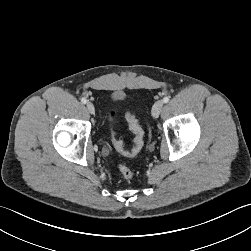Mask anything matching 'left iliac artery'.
Instances as JSON below:
<instances>
[{
  "label": "left iliac artery",
  "instance_id": "1",
  "mask_svg": "<svg viewBox=\"0 0 251 251\" xmlns=\"http://www.w3.org/2000/svg\"><path fill=\"white\" fill-rule=\"evenodd\" d=\"M169 100H170V99H169V97H167V96L163 98V102H164V103H168Z\"/></svg>",
  "mask_w": 251,
  "mask_h": 251
}]
</instances>
